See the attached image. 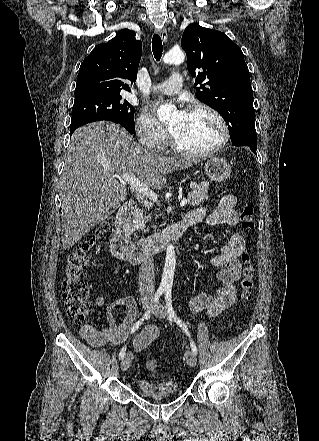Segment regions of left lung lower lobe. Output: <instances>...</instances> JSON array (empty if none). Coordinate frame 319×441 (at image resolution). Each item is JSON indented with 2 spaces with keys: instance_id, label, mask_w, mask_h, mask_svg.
<instances>
[{
  "instance_id": "obj_1",
  "label": "left lung lower lobe",
  "mask_w": 319,
  "mask_h": 441,
  "mask_svg": "<svg viewBox=\"0 0 319 441\" xmlns=\"http://www.w3.org/2000/svg\"><path fill=\"white\" fill-rule=\"evenodd\" d=\"M250 149H251L252 152H254V153L256 154V149H257V147H254V146L251 145V146H250Z\"/></svg>"
}]
</instances>
